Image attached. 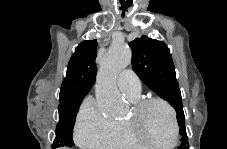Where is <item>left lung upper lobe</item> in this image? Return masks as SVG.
<instances>
[{
	"label": "left lung upper lobe",
	"instance_id": "left-lung-upper-lobe-1",
	"mask_svg": "<svg viewBox=\"0 0 227 149\" xmlns=\"http://www.w3.org/2000/svg\"><path fill=\"white\" fill-rule=\"evenodd\" d=\"M132 49V68L139 78L176 110L181 135L179 148L189 147L181 92L176 80L174 63L167 45L142 36L129 43Z\"/></svg>",
	"mask_w": 227,
	"mask_h": 149
}]
</instances>
